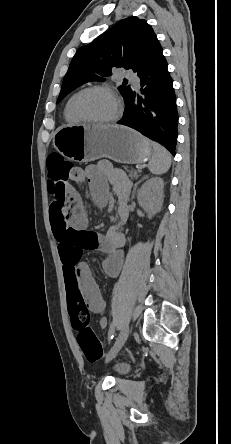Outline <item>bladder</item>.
Here are the masks:
<instances>
[{
  "label": "bladder",
  "mask_w": 231,
  "mask_h": 444,
  "mask_svg": "<svg viewBox=\"0 0 231 444\" xmlns=\"http://www.w3.org/2000/svg\"><path fill=\"white\" fill-rule=\"evenodd\" d=\"M131 369L130 365L126 364V363H119L115 366V370L118 374H126L127 372H129Z\"/></svg>",
  "instance_id": "1"
}]
</instances>
